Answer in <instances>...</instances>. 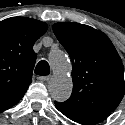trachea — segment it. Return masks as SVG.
<instances>
[{
    "label": "trachea",
    "mask_w": 125,
    "mask_h": 125,
    "mask_svg": "<svg viewBox=\"0 0 125 125\" xmlns=\"http://www.w3.org/2000/svg\"><path fill=\"white\" fill-rule=\"evenodd\" d=\"M50 73V66L46 60H41L36 68H35V74L45 76L49 75Z\"/></svg>",
    "instance_id": "obj_1"
}]
</instances>
